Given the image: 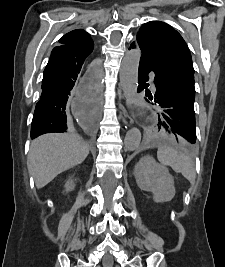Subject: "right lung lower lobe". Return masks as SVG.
I'll return each instance as SVG.
<instances>
[{
	"instance_id": "98d812e1",
	"label": "right lung lower lobe",
	"mask_w": 225,
	"mask_h": 267,
	"mask_svg": "<svg viewBox=\"0 0 225 267\" xmlns=\"http://www.w3.org/2000/svg\"><path fill=\"white\" fill-rule=\"evenodd\" d=\"M93 47L61 44L53 48L43 73L42 93L32 120V139L45 133L67 130V100L78 85L81 69ZM95 83V78L88 82L86 93L89 96L95 93Z\"/></svg>"
}]
</instances>
